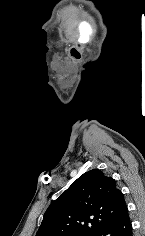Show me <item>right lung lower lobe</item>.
Returning <instances> with one entry per match:
<instances>
[{"label": "right lung lower lobe", "instance_id": "obj_1", "mask_svg": "<svg viewBox=\"0 0 145 236\" xmlns=\"http://www.w3.org/2000/svg\"><path fill=\"white\" fill-rule=\"evenodd\" d=\"M94 236H132V224L127 207Z\"/></svg>", "mask_w": 145, "mask_h": 236}]
</instances>
